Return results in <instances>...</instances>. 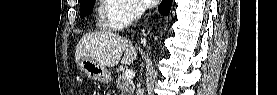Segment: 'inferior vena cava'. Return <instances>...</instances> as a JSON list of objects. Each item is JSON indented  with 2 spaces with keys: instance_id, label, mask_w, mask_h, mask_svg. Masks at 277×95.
Returning a JSON list of instances; mask_svg holds the SVG:
<instances>
[{
  "instance_id": "inferior-vena-cava-1",
  "label": "inferior vena cava",
  "mask_w": 277,
  "mask_h": 95,
  "mask_svg": "<svg viewBox=\"0 0 277 95\" xmlns=\"http://www.w3.org/2000/svg\"><path fill=\"white\" fill-rule=\"evenodd\" d=\"M144 11H145V8L144 7H142V6H136V9H135V17L137 18V19H139L141 16H142V14L144 13ZM143 93L142 92H139L138 93V95H142Z\"/></svg>"
}]
</instances>
